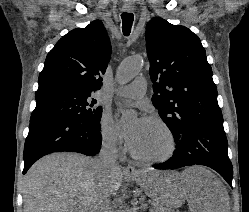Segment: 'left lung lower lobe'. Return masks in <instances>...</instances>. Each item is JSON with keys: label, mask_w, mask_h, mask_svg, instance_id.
<instances>
[{"label": "left lung lower lobe", "mask_w": 249, "mask_h": 212, "mask_svg": "<svg viewBox=\"0 0 249 212\" xmlns=\"http://www.w3.org/2000/svg\"><path fill=\"white\" fill-rule=\"evenodd\" d=\"M175 142L177 145L173 157L155 165L154 168L174 169L204 165L217 171L229 185H232L233 167L228 157V142L223 122L185 126L184 134Z\"/></svg>", "instance_id": "left-lung-lower-lobe-1"}]
</instances>
